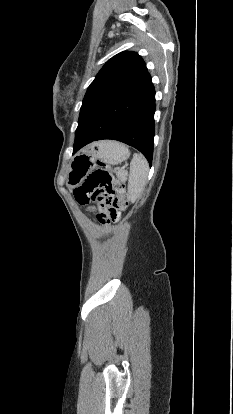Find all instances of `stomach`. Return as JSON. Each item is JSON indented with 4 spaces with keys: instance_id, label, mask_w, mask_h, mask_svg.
I'll return each mask as SVG.
<instances>
[{
    "instance_id": "stomach-1",
    "label": "stomach",
    "mask_w": 233,
    "mask_h": 414,
    "mask_svg": "<svg viewBox=\"0 0 233 414\" xmlns=\"http://www.w3.org/2000/svg\"><path fill=\"white\" fill-rule=\"evenodd\" d=\"M130 156L128 148L115 141H102L91 147L90 151H82L76 154L71 161L68 181L69 187L80 184L94 169L96 161L117 165Z\"/></svg>"
}]
</instances>
